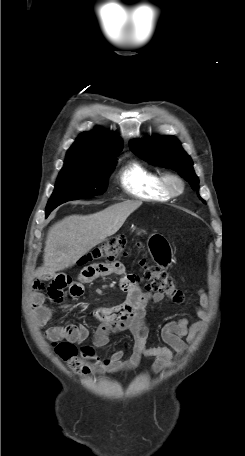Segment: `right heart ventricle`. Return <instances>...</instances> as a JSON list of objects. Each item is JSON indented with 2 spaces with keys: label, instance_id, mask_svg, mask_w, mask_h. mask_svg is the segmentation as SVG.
<instances>
[{
  "label": "right heart ventricle",
  "instance_id": "right-heart-ventricle-1",
  "mask_svg": "<svg viewBox=\"0 0 245 456\" xmlns=\"http://www.w3.org/2000/svg\"><path fill=\"white\" fill-rule=\"evenodd\" d=\"M122 189L143 200L167 201L171 196L161 186V175L138 162L125 165L118 174Z\"/></svg>",
  "mask_w": 245,
  "mask_h": 456
}]
</instances>
